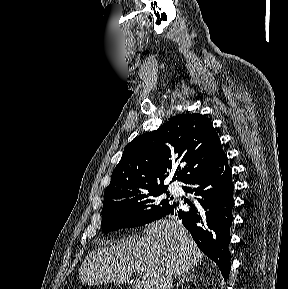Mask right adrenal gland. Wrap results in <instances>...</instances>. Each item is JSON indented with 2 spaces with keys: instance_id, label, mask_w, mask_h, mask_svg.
I'll return each instance as SVG.
<instances>
[{
  "instance_id": "1",
  "label": "right adrenal gland",
  "mask_w": 288,
  "mask_h": 289,
  "mask_svg": "<svg viewBox=\"0 0 288 289\" xmlns=\"http://www.w3.org/2000/svg\"><path fill=\"white\" fill-rule=\"evenodd\" d=\"M194 279V274L193 273H187L186 275L182 276L180 279H179V282L176 284V288L175 289H178V287L180 285H182L185 281L189 282L190 280H193Z\"/></svg>"
}]
</instances>
